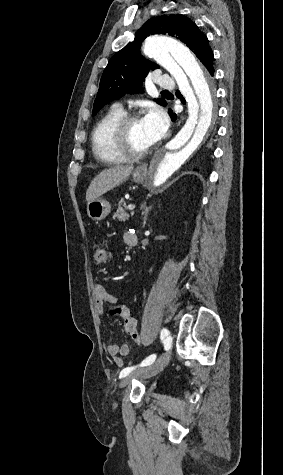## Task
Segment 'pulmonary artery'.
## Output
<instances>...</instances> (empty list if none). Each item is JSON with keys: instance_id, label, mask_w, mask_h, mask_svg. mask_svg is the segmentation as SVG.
<instances>
[{"instance_id": "e3ab8cb5", "label": "pulmonary artery", "mask_w": 283, "mask_h": 475, "mask_svg": "<svg viewBox=\"0 0 283 475\" xmlns=\"http://www.w3.org/2000/svg\"><path fill=\"white\" fill-rule=\"evenodd\" d=\"M157 87L158 89H172L173 81L172 80H158Z\"/></svg>"}]
</instances>
